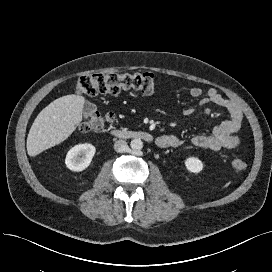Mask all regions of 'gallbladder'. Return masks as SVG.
<instances>
[{"label":"gallbladder","mask_w":272,"mask_h":272,"mask_svg":"<svg viewBox=\"0 0 272 272\" xmlns=\"http://www.w3.org/2000/svg\"><path fill=\"white\" fill-rule=\"evenodd\" d=\"M97 109V106L89 101H86L83 106V112L87 115H92L95 110Z\"/></svg>","instance_id":"1"}]
</instances>
